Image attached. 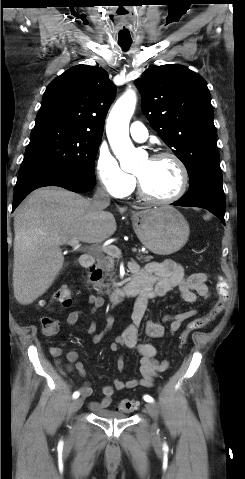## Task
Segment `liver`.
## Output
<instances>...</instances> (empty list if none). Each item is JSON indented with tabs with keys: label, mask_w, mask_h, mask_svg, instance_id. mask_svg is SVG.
I'll return each instance as SVG.
<instances>
[{
	"label": "liver",
	"mask_w": 245,
	"mask_h": 479,
	"mask_svg": "<svg viewBox=\"0 0 245 479\" xmlns=\"http://www.w3.org/2000/svg\"><path fill=\"white\" fill-rule=\"evenodd\" d=\"M112 213L59 187L32 192L14 215L13 287L22 305L33 303L63 268L61 246L71 239L100 243L114 234Z\"/></svg>",
	"instance_id": "6515ba94"
}]
</instances>
